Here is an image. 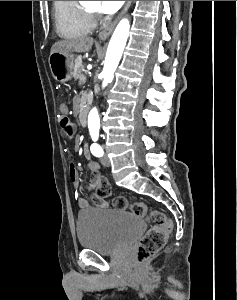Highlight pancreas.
Wrapping results in <instances>:
<instances>
[{"instance_id":"obj_1","label":"pancreas","mask_w":237,"mask_h":300,"mask_svg":"<svg viewBox=\"0 0 237 300\" xmlns=\"http://www.w3.org/2000/svg\"><path fill=\"white\" fill-rule=\"evenodd\" d=\"M76 63H77V61H76ZM81 73H82V69H80V67H78V65H75L74 71H73L74 79H78L81 76ZM82 77H84V76H82Z\"/></svg>"}]
</instances>
